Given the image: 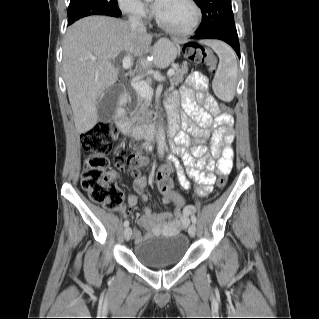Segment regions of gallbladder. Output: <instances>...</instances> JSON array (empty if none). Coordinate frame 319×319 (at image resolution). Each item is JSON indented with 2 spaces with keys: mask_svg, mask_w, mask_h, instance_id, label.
Returning <instances> with one entry per match:
<instances>
[{
  "mask_svg": "<svg viewBox=\"0 0 319 319\" xmlns=\"http://www.w3.org/2000/svg\"><path fill=\"white\" fill-rule=\"evenodd\" d=\"M123 91L122 85H113L105 92L97 107L99 122H110L114 118L118 100Z\"/></svg>",
  "mask_w": 319,
  "mask_h": 319,
  "instance_id": "bac80fb5",
  "label": "gallbladder"
}]
</instances>
